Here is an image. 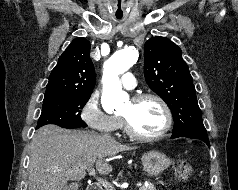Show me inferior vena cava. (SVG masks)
Masks as SVG:
<instances>
[{"mask_svg": "<svg viewBox=\"0 0 238 190\" xmlns=\"http://www.w3.org/2000/svg\"><path fill=\"white\" fill-rule=\"evenodd\" d=\"M106 138H111L108 134L105 135Z\"/></svg>", "mask_w": 238, "mask_h": 190, "instance_id": "obj_1", "label": "inferior vena cava"}]
</instances>
